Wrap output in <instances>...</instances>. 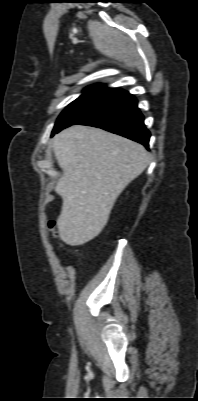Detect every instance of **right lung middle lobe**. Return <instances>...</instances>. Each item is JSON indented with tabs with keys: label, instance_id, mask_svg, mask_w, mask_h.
Segmentation results:
<instances>
[{
	"label": "right lung middle lobe",
	"instance_id": "obj_1",
	"mask_svg": "<svg viewBox=\"0 0 198 401\" xmlns=\"http://www.w3.org/2000/svg\"><path fill=\"white\" fill-rule=\"evenodd\" d=\"M110 93L108 90H85L75 101L70 103L60 114L55 123L51 136L62 129L77 124L94 112Z\"/></svg>",
	"mask_w": 198,
	"mask_h": 401
}]
</instances>
